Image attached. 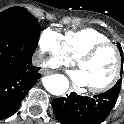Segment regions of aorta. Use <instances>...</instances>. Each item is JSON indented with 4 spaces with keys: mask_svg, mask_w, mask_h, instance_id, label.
Returning a JSON list of instances; mask_svg holds the SVG:
<instances>
[{
    "mask_svg": "<svg viewBox=\"0 0 124 124\" xmlns=\"http://www.w3.org/2000/svg\"><path fill=\"white\" fill-rule=\"evenodd\" d=\"M45 88L53 95H63L69 88V82L65 76L55 74L45 81Z\"/></svg>",
    "mask_w": 124,
    "mask_h": 124,
    "instance_id": "obj_1",
    "label": "aorta"
}]
</instances>
